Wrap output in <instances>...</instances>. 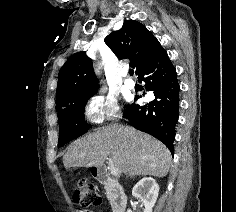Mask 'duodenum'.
Returning a JSON list of instances; mask_svg holds the SVG:
<instances>
[{"mask_svg": "<svg viewBox=\"0 0 236 212\" xmlns=\"http://www.w3.org/2000/svg\"><path fill=\"white\" fill-rule=\"evenodd\" d=\"M93 175L102 183L110 193L113 212H124L127 197L123 187L110 176L105 167H97Z\"/></svg>", "mask_w": 236, "mask_h": 212, "instance_id": "obj_1", "label": "duodenum"}]
</instances>
